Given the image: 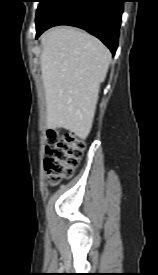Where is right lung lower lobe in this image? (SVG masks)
I'll return each mask as SVG.
<instances>
[{
	"label": "right lung lower lobe",
	"instance_id": "98d812e1",
	"mask_svg": "<svg viewBox=\"0 0 158 275\" xmlns=\"http://www.w3.org/2000/svg\"><path fill=\"white\" fill-rule=\"evenodd\" d=\"M122 3L123 0H57L36 24V38L56 25L75 26L99 38L115 54Z\"/></svg>",
	"mask_w": 158,
	"mask_h": 275
}]
</instances>
